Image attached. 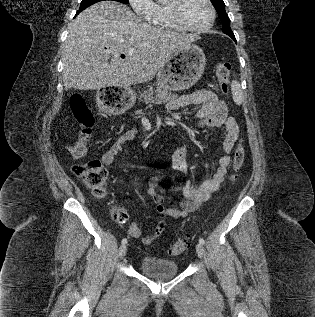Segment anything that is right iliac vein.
I'll return each mask as SVG.
<instances>
[{"instance_id": "obj_1", "label": "right iliac vein", "mask_w": 315, "mask_h": 317, "mask_svg": "<svg viewBox=\"0 0 315 317\" xmlns=\"http://www.w3.org/2000/svg\"><path fill=\"white\" fill-rule=\"evenodd\" d=\"M126 252H127V247L125 245H122L118 251L119 258H123L126 255Z\"/></svg>"}]
</instances>
